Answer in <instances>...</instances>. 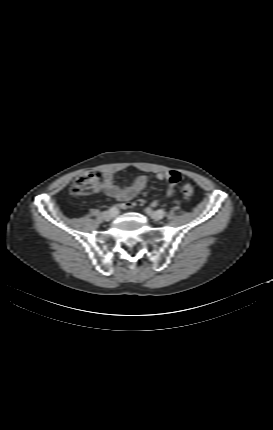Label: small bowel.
Masks as SVG:
<instances>
[{
	"instance_id": "small-bowel-1",
	"label": "small bowel",
	"mask_w": 273,
	"mask_h": 430,
	"mask_svg": "<svg viewBox=\"0 0 273 430\" xmlns=\"http://www.w3.org/2000/svg\"><path fill=\"white\" fill-rule=\"evenodd\" d=\"M156 178L158 180H163L169 182L167 188V195L172 197L174 195V185L179 181L180 176L175 171H168L157 173ZM148 185V178L145 175L136 177L127 186L121 187L114 183V179L111 173L105 172L102 174L101 183L98 185V190L104 192L108 196L121 202L119 205L121 208H126L128 206L127 202L132 200L138 194H140ZM158 201L152 202L153 206H156Z\"/></svg>"
}]
</instances>
